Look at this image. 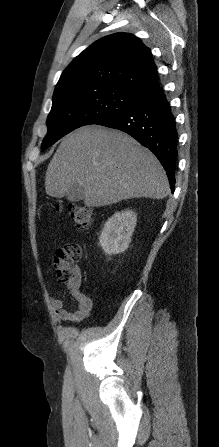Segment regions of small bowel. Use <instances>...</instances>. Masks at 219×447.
<instances>
[{"label":"small bowel","mask_w":219,"mask_h":447,"mask_svg":"<svg viewBox=\"0 0 219 447\" xmlns=\"http://www.w3.org/2000/svg\"><path fill=\"white\" fill-rule=\"evenodd\" d=\"M68 289L78 306L76 309H69L62 299L52 298L51 304L56 315L59 319L67 322H79L86 319L92 310V299L80 291V281L76 288L68 285Z\"/></svg>","instance_id":"small-bowel-1"}]
</instances>
